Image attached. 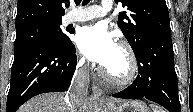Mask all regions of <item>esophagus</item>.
I'll return each instance as SVG.
<instances>
[{"label":"esophagus","mask_w":193,"mask_h":112,"mask_svg":"<svg viewBox=\"0 0 193 112\" xmlns=\"http://www.w3.org/2000/svg\"><path fill=\"white\" fill-rule=\"evenodd\" d=\"M94 98L98 101H102L105 99L103 92L97 87L93 86Z\"/></svg>","instance_id":"34e87169"}]
</instances>
